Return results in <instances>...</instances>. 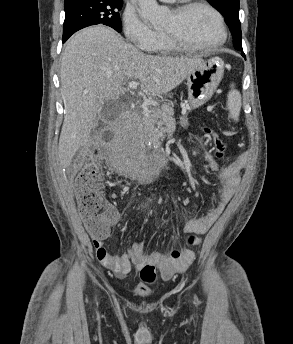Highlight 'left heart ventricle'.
<instances>
[{
    "instance_id": "left-heart-ventricle-1",
    "label": "left heart ventricle",
    "mask_w": 293,
    "mask_h": 344,
    "mask_svg": "<svg viewBox=\"0 0 293 344\" xmlns=\"http://www.w3.org/2000/svg\"><path fill=\"white\" fill-rule=\"evenodd\" d=\"M162 31L176 33L194 45L213 43L220 35L214 16L201 7L192 8L181 16L171 12Z\"/></svg>"
}]
</instances>
